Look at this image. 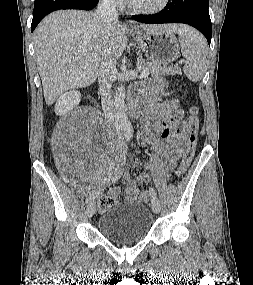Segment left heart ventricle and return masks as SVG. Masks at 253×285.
<instances>
[{
    "label": "left heart ventricle",
    "instance_id": "b2bd125f",
    "mask_svg": "<svg viewBox=\"0 0 253 285\" xmlns=\"http://www.w3.org/2000/svg\"><path fill=\"white\" fill-rule=\"evenodd\" d=\"M130 1L136 7L149 8L159 5L162 0H130Z\"/></svg>",
    "mask_w": 253,
    "mask_h": 285
}]
</instances>
